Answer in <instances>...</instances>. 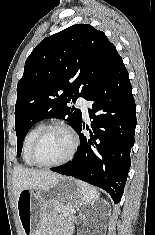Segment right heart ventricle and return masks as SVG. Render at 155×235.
I'll list each match as a JSON object with an SVG mask.
<instances>
[{
    "label": "right heart ventricle",
    "instance_id": "e07e8e85",
    "mask_svg": "<svg viewBox=\"0 0 155 235\" xmlns=\"http://www.w3.org/2000/svg\"><path fill=\"white\" fill-rule=\"evenodd\" d=\"M45 125L46 124L44 122H39L35 124L31 129H29V131L24 136L22 143V160L27 166H35V164L30 158V148L35 137L44 128Z\"/></svg>",
    "mask_w": 155,
    "mask_h": 235
}]
</instances>
